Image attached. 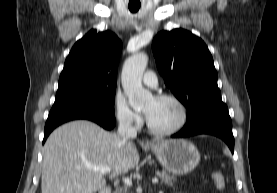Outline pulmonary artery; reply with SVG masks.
<instances>
[{"instance_id":"pulmonary-artery-1","label":"pulmonary artery","mask_w":277,"mask_h":193,"mask_svg":"<svg viewBox=\"0 0 277 193\" xmlns=\"http://www.w3.org/2000/svg\"><path fill=\"white\" fill-rule=\"evenodd\" d=\"M143 83L149 87L156 88L158 85V79L153 71H146L143 75Z\"/></svg>"}]
</instances>
